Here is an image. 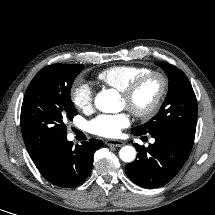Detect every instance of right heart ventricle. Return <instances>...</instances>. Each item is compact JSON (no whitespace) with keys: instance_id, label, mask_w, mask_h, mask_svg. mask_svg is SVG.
<instances>
[{"instance_id":"e07e8e85","label":"right heart ventricle","mask_w":215,"mask_h":215,"mask_svg":"<svg viewBox=\"0 0 215 215\" xmlns=\"http://www.w3.org/2000/svg\"><path fill=\"white\" fill-rule=\"evenodd\" d=\"M149 71L147 67L137 65H115L98 73L97 79L103 85L122 91L135 78Z\"/></svg>"}]
</instances>
